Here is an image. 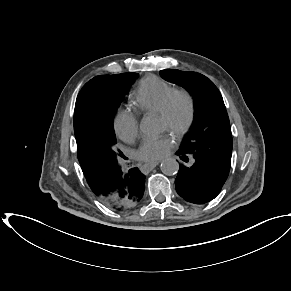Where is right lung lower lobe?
Instances as JSON below:
<instances>
[{"label":"right lung lower lobe","mask_w":291,"mask_h":291,"mask_svg":"<svg viewBox=\"0 0 291 291\" xmlns=\"http://www.w3.org/2000/svg\"><path fill=\"white\" fill-rule=\"evenodd\" d=\"M100 179L106 186V194L101 200L116 211H126L135 207L143 197L145 175L138 168L124 173L118 163L104 165Z\"/></svg>","instance_id":"1"}]
</instances>
